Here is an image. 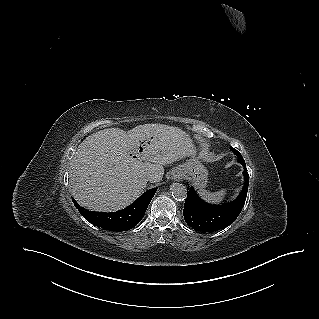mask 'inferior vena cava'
Here are the masks:
<instances>
[{
    "label": "inferior vena cava",
    "mask_w": 319,
    "mask_h": 319,
    "mask_svg": "<svg viewBox=\"0 0 319 319\" xmlns=\"http://www.w3.org/2000/svg\"><path fill=\"white\" fill-rule=\"evenodd\" d=\"M151 179H152V175H147V176H146V180H147V181H151Z\"/></svg>",
    "instance_id": "inferior-vena-cava-1"
}]
</instances>
